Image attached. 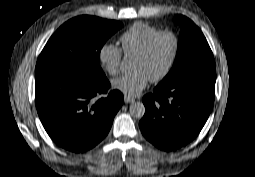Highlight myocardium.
<instances>
[{
  "label": "myocardium",
  "instance_id": "f54148a6",
  "mask_svg": "<svg viewBox=\"0 0 255 177\" xmlns=\"http://www.w3.org/2000/svg\"><path fill=\"white\" fill-rule=\"evenodd\" d=\"M169 36L173 39V51L172 54L167 62V65L165 66L164 70L156 77L150 78L149 80L152 83H157L165 79L168 74L170 73L171 69L173 68V65L178 57L179 51H180V40L179 37L172 31H160L154 36H152L145 46L142 48V50L135 56L136 58H145L150 53L151 49L153 48L154 44L159 40L161 37Z\"/></svg>",
  "mask_w": 255,
  "mask_h": 177
}]
</instances>
